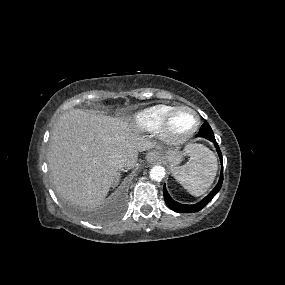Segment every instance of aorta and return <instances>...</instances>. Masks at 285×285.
Listing matches in <instances>:
<instances>
[{
	"instance_id": "1",
	"label": "aorta",
	"mask_w": 285,
	"mask_h": 285,
	"mask_svg": "<svg viewBox=\"0 0 285 285\" xmlns=\"http://www.w3.org/2000/svg\"><path fill=\"white\" fill-rule=\"evenodd\" d=\"M150 178L154 181H161L165 177V168L157 165L150 170Z\"/></svg>"
}]
</instances>
